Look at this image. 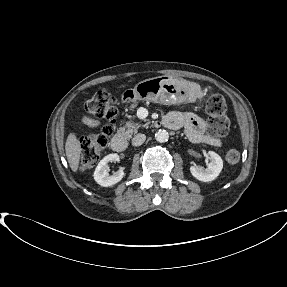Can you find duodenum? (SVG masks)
Segmentation results:
<instances>
[{
    "label": "duodenum",
    "mask_w": 287,
    "mask_h": 287,
    "mask_svg": "<svg viewBox=\"0 0 287 287\" xmlns=\"http://www.w3.org/2000/svg\"><path fill=\"white\" fill-rule=\"evenodd\" d=\"M164 124L168 127V122L164 121ZM111 147L115 152H125L128 149V142L122 134H115L111 138Z\"/></svg>",
    "instance_id": "410a0bca"
}]
</instances>
